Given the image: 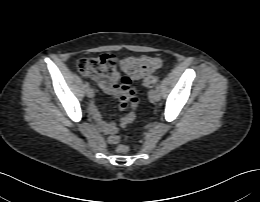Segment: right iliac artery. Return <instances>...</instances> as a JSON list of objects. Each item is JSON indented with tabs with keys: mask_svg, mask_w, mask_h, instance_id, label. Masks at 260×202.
<instances>
[{
	"mask_svg": "<svg viewBox=\"0 0 260 202\" xmlns=\"http://www.w3.org/2000/svg\"><path fill=\"white\" fill-rule=\"evenodd\" d=\"M86 88H89L90 87V85H89V83H85V85H84Z\"/></svg>",
	"mask_w": 260,
	"mask_h": 202,
	"instance_id": "1",
	"label": "right iliac artery"
}]
</instances>
